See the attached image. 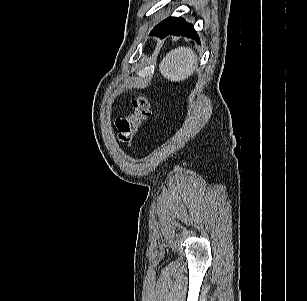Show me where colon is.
Returning <instances> with one entry per match:
<instances>
[{"label":"colon","mask_w":307,"mask_h":301,"mask_svg":"<svg viewBox=\"0 0 307 301\" xmlns=\"http://www.w3.org/2000/svg\"><path fill=\"white\" fill-rule=\"evenodd\" d=\"M151 115L150 104L145 96H137L133 100V112L126 117L116 119L118 140L124 146H130L139 126Z\"/></svg>","instance_id":"1"}]
</instances>
